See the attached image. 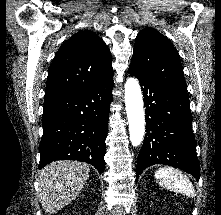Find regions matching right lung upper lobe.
I'll list each match as a JSON object with an SVG mask.
<instances>
[{"label":"right lung upper lobe","instance_id":"1","mask_svg":"<svg viewBox=\"0 0 221 215\" xmlns=\"http://www.w3.org/2000/svg\"><path fill=\"white\" fill-rule=\"evenodd\" d=\"M113 74L105 42L92 31H80L62 44L50 65L44 106L84 91Z\"/></svg>","mask_w":221,"mask_h":215}]
</instances>
